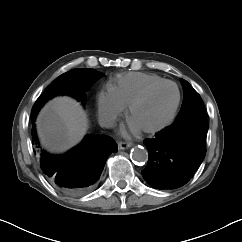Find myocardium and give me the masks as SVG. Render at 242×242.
Wrapping results in <instances>:
<instances>
[{"label": "myocardium", "instance_id": "f54148a6", "mask_svg": "<svg viewBox=\"0 0 242 242\" xmlns=\"http://www.w3.org/2000/svg\"><path fill=\"white\" fill-rule=\"evenodd\" d=\"M163 85H172L175 87L176 92H177V100L175 103V106L170 114V116L168 117V119L163 122L161 125L154 127V128H145V129H139V131L143 134H148V135H153V134H157L163 130H165L166 128H168L170 125H172V123L174 122V120L177 117L180 105H181V91L179 86L171 81V80H163L160 81L158 83H155L153 85H150L149 87H147L140 95H138L129 105H128V111H127V115H128V119H131L132 113L135 110V108L137 106H139L140 104H142L144 101H146L148 99V97L158 88H160Z\"/></svg>", "mask_w": 242, "mask_h": 242}]
</instances>
